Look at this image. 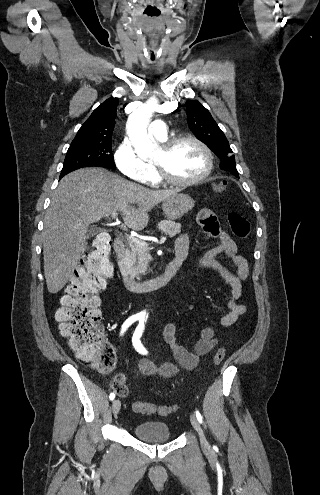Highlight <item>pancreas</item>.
Returning <instances> with one entry per match:
<instances>
[{
    "instance_id": "cf45deb5",
    "label": "pancreas",
    "mask_w": 320,
    "mask_h": 495,
    "mask_svg": "<svg viewBox=\"0 0 320 495\" xmlns=\"http://www.w3.org/2000/svg\"><path fill=\"white\" fill-rule=\"evenodd\" d=\"M158 228L161 232L173 237L180 233L181 224L169 220H163L158 223ZM148 262V247L129 242V246L126 249L123 258L119 261V266L127 274H129L131 278H139V275L146 271Z\"/></svg>"
}]
</instances>
